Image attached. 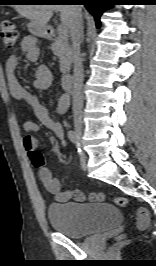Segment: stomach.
Here are the masks:
<instances>
[{
  "label": "stomach",
  "instance_id": "0dacf381",
  "mask_svg": "<svg viewBox=\"0 0 156 266\" xmlns=\"http://www.w3.org/2000/svg\"><path fill=\"white\" fill-rule=\"evenodd\" d=\"M28 27H29V31L31 33H33L34 35H42L44 33V29L43 28L34 26V25H32V23H30L28 25Z\"/></svg>",
  "mask_w": 156,
  "mask_h": 266
}]
</instances>
